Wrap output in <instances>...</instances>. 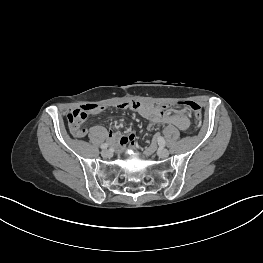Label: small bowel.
I'll use <instances>...</instances> for the list:
<instances>
[{"label":"small bowel","instance_id":"c3829d8e","mask_svg":"<svg viewBox=\"0 0 263 263\" xmlns=\"http://www.w3.org/2000/svg\"><path fill=\"white\" fill-rule=\"evenodd\" d=\"M121 109H131L137 112L143 118L149 120L150 125L155 123L173 124L181 130H185L189 126L188 117L178 111H165L161 107L153 106L148 103L140 102L137 100H131L118 105ZM79 108L86 109L88 113H97L103 110V107L94 103L85 104ZM109 137L116 141L120 147L127 144H135V135L130 133L128 135H122L118 132L110 131Z\"/></svg>","mask_w":263,"mask_h":263}]
</instances>
